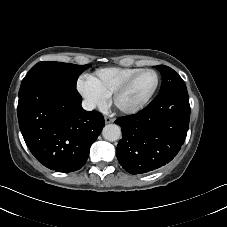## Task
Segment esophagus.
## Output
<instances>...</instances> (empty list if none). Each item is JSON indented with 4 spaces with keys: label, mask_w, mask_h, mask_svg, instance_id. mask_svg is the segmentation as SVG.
<instances>
[{
    "label": "esophagus",
    "mask_w": 227,
    "mask_h": 227,
    "mask_svg": "<svg viewBox=\"0 0 227 227\" xmlns=\"http://www.w3.org/2000/svg\"><path fill=\"white\" fill-rule=\"evenodd\" d=\"M104 120H105V123H106V124H109V123H113V122H114V119L111 118V117H108V116H106V117L104 118Z\"/></svg>",
    "instance_id": "obj_1"
}]
</instances>
